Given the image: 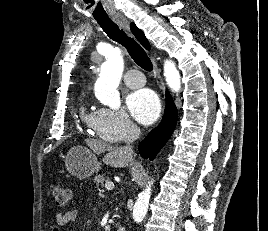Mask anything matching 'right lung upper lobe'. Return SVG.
<instances>
[{
    "label": "right lung upper lobe",
    "mask_w": 268,
    "mask_h": 231,
    "mask_svg": "<svg viewBox=\"0 0 268 231\" xmlns=\"http://www.w3.org/2000/svg\"><path fill=\"white\" fill-rule=\"evenodd\" d=\"M132 33L135 35V37L138 39V41L147 49L150 50V44L145 37L143 31L139 29L134 23H131L130 25Z\"/></svg>",
    "instance_id": "obj_1"
}]
</instances>
